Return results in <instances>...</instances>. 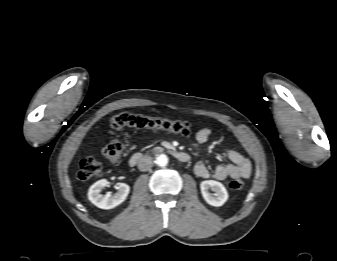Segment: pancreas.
Here are the masks:
<instances>
[{
  "instance_id": "pancreas-1",
  "label": "pancreas",
  "mask_w": 337,
  "mask_h": 261,
  "mask_svg": "<svg viewBox=\"0 0 337 261\" xmlns=\"http://www.w3.org/2000/svg\"><path fill=\"white\" fill-rule=\"evenodd\" d=\"M153 150H162L160 147H155Z\"/></svg>"
}]
</instances>
